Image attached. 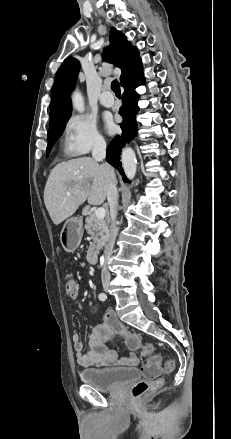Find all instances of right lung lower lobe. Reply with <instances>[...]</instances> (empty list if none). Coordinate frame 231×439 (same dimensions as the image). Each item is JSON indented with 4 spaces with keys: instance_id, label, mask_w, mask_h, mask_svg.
<instances>
[{
    "instance_id": "1",
    "label": "right lung lower lobe",
    "mask_w": 231,
    "mask_h": 439,
    "mask_svg": "<svg viewBox=\"0 0 231 439\" xmlns=\"http://www.w3.org/2000/svg\"><path fill=\"white\" fill-rule=\"evenodd\" d=\"M144 82L145 79L142 76L137 81L124 87L125 91L122 94L123 106L119 111L120 115H122L124 119L120 125L122 135L115 137L107 148L106 160L120 172L125 182H129V180L126 178L123 171L122 163L120 161V153L123 146L127 143H130L132 138L137 134V123L135 117L139 109L137 106L138 94L136 93L135 88L144 84Z\"/></svg>"
}]
</instances>
